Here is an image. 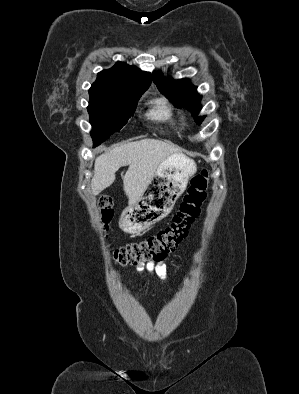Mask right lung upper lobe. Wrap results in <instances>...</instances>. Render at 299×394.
I'll return each instance as SVG.
<instances>
[{
	"label": "right lung upper lobe",
	"mask_w": 299,
	"mask_h": 394,
	"mask_svg": "<svg viewBox=\"0 0 299 394\" xmlns=\"http://www.w3.org/2000/svg\"><path fill=\"white\" fill-rule=\"evenodd\" d=\"M152 82V76L135 66L117 62L112 68L98 73L89 94H104L117 91L144 93Z\"/></svg>",
	"instance_id": "cb5924a9"
}]
</instances>
